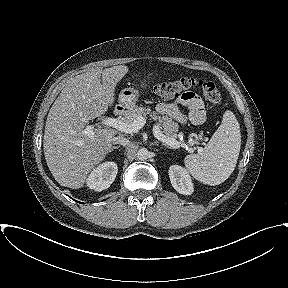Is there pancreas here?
<instances>
[{
  "label": "pancreas",
  "instance_id": "obj_1",
  "mask_svg": "<svg viewBox=\"0 0 288 288\" xmlns=\"http://www.w3.org/2000/svg\"><path fill=\"white\" fill-rule=\"evenodd\" d=\"M147 114H150L154 120H158V126L167 137L173 139L177 137L179 125L175 123L171 118L166 116H159L155 112H151L149 108L146 109L141 106H135L132 110L126 113V115L122 118V121L131 123L137 117L142 116L145 118Z\"/></svg>",
  "mask_w": 288,
  "mask_h": 288
}]
</instances>
